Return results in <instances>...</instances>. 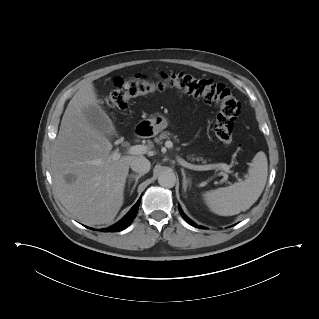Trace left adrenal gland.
Returning a JSON list of instances; mask_svg holds the SVG:
<instances>
[{
  "mask_svg": "<svg viewBox=\"0 0 319 319\" xmlns=\"http://www.w3.org/2000/svg\"><path fill=\"white\" fill-rule=\"evenodd\" d=\"M181 172H182V176H183V180H182L183 181V189L186 192L187 186H188V184H190L191 180H190V178L186 177V173H185L184 169H181Z\"/></svg>",
  "mask_w": 319,
  "mask_h": 319,
  "instance_id": "obj_1",
  "label": "left adrenal gland"
}]
</instances>
